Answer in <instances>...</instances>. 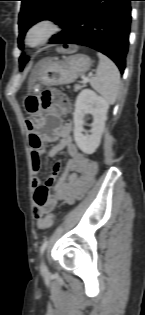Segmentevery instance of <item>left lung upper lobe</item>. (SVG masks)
I'll list each match as a JSON object with an SVG mask.
<instances>
[{
	"label": "left lung upper lobe",
	"instance_id": "obj_1",
	"mask_svg": "<svg viewBox=\"0 0 145 315\" xmlns=\"http://www.w3.org/2000/svg\"><path fill=\"white\" fill-rule=\"evenodd\" d=\"M22 1L19 14V38L22 42L26 31L36 22L44 18H52L51 21L63 26L73 7L75 0H20ZM28 58L22 55L19 59L20 70L27 63Z\"/></svg>",
	"mask_w": 145,
	"mask_h": 315
}]
</instances>
